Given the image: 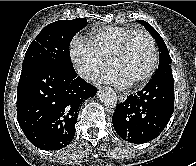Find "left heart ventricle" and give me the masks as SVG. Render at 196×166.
Wrapping results in <instances>:
<instances>
[{
	"label": "left heart ventricle",
	"instance_id": "1",
	"mask_svg": "<svg viewBox=\"0 0 196 166\" xmlns=\"http://www.w3.org/2000/svg\"><path fill=\"white\" fill-rule=\"evenodd\" d=\"M151 62V44L146 36L137 34L130 40L126 53L113 68L131 83L146 73Z\"/></svg>",
	"mask_w": 196,
	"mask_h": 166
}]
</instances>
